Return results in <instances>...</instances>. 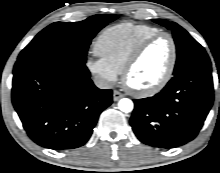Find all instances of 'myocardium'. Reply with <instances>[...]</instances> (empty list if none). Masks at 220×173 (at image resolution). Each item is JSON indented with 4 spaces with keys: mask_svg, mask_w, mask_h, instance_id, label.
<instances>
[{
    "mask_svg": "<svg viewBox=\"0 0 220 173\" xmlns=\"http://www.w3.org/2000/svg\"><path fill=\"white\" fill-rule=\"evenodd\" d=\"M161 37L168 38V40L170 41V44H171V59H170L169 66H168L165 74L156 84H154L153 86H151L149 88L135 89V88L131 87L128 83V76H129L131 70L136 65V63L139 61L140 57L142 56V54L144 53L146 48L151 43H153L154 41H156L157 39H159ZM176 63H177V45H176V42H175L173 36L167 32H157V33L147 37L146 39L141 41L136 46V48L134 49L132 54L129 56L128 60L126 61L125 65L123 67L122 82H123L125 88L136 97L145 98V97L154 96L155 94L159 93L169 83V81L171 80L173 73L175 71Z\"/></svg>",
    "mask_w": 220,
    "mask_h": 173,
    "instance_id": "myocardium-1",
    "label": "myocardium"
}]
</instances>
